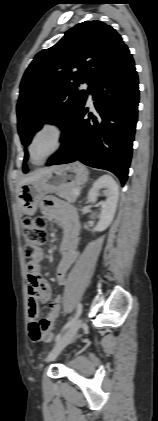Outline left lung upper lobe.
Masks as SVG:
<instances>
[{
	"label": "left lung upper lobe",
	"instance_id": "obj_1",
	"mask_svg": "<svg viewBox=\"0 0 158 421\" xmlns=\"http://www.w3.org/2000/svg\"><path fill=\"white\" fill-rule=\"evenodd\" d=\"M125 45L111 26L85 21L69 29L53 47L39 52L26 70L17 104L18 132L28 146L44 123L64 130L84 105L89 87ZM26 152L24 161H27ZM27 172V166H23Z\"/></svg>",
	"mask_w": 158,
	"mask_h": 421
}]
</instances>
